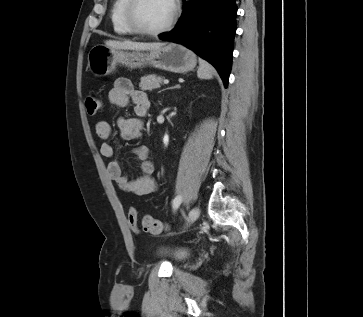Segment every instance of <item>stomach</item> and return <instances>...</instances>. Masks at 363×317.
Returning a JSON list of instances; mask_svg holds the SVG:
<instances>
[{"instance_id":"stomach-1","label":"stomach","mask_w":363,"mask_h":317,"mask_svg":"<svg viewBox=\"0 0 363 317\" xmlns=\"http://www.w3.org/2000/svg\"><path fill=\"white\" fill-rule=\"evenodd\" d=\"M197 64L196 55L186 47L170 43L148 52L122 51L106 45H95L88 54V68L95 77H104L118 65L140 68L146 65L173 73L192 71Z\"/></svg>"}]
</instances>
